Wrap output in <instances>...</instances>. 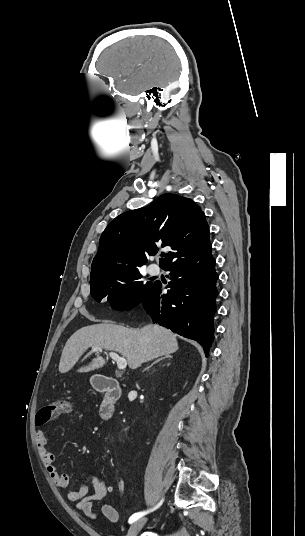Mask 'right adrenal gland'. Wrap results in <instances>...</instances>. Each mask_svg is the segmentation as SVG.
Returning <instances> with one entry per match:
<instances>
[{
    "label": "right adrenal gland",
    "mask_w": 305,
    "mask_h": 536,
    "mask_svg": "<svg viewBox=\"0 0 305 536\" xmlns=\"http://www.w3.org/2000/svg\"><path fill=\"white\" fill-rule=\"evenodd\" d=\"M165 358H172V356H165ZM165 358H160V360H156V362H153L151 366H154V364H157V362H161V360H165ZM151 366H149V368H151ZM149 368H146V370H149Z\"/></svg>",
    "instance_id": "right-adrenal-gland-1"
}]
</instances>
